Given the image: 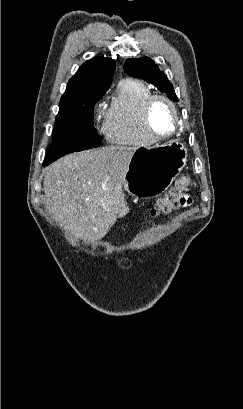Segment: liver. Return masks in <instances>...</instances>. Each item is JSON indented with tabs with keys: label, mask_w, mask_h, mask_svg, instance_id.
<instances>
[{
	"label": "liver",
	"mask_w": 243,
	"mask_h": 409,
	"mask_svg": "<svg viewBox=\"0 0 243 409\" xmlns=\"http://www.w3.org/2000/svg\"><path fill=\"white\" fill-rule=\"evenodd\" d=\"M136 149L108 146L74 153L42 171L46 205L73 236L101 239L126 214L122 186Z\"/></svg>",
	"instance_id": "6515ba94"
}]
</instances>
